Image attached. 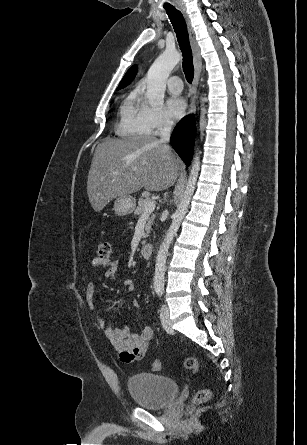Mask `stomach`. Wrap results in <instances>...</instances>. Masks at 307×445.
Wrapping results in <instances>:
<instances>
[{
	"label": "stomach",
	"mask_w": 307,
	"mask_h": 445,
	"mask_svg": "<svg viewBox=\"0 0 307 445\" xmlns=\"http://www.w3.org/2000/svg\"><path fill=\"white\" fill-rule=\"evenodd\" d=\"M135 206L136 200L134 196H118V198L114 200L112 210H114L116 214H119V216H125V214L133 212Z\"/></svg>",
	"instance_id": "obj_1"
}]
</instances>
